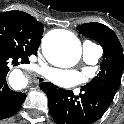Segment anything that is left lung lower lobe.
Listing matches in <instances>:
<instances>
[{
    "instance_id": "obj_1",
    "label": "left lung lower lobe",
    "mask_w": 124,
    "mask_h": 124,
    "mask_svg": "<svg viewBox=\"0 0 124 124\" xmlns=\"http://www.w3.org/2000/svg\"><path fill=\"white\" fill-rule=\"evenodd\" d=\"M40 88L48 96L49 113L57 124H93L112 102L106 94L84 87L79 96L49 82L41 83Z\"/></svg>"
}]
</instances>
